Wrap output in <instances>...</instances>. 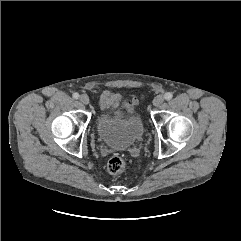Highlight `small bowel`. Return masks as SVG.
<instances>
[{
	"mask_svg": "<svg viewBox=\"0 0 241 241\" xmlns=\"http://www.w3.org/2000/svg\"><path fill=\"white\" fill-rule=\"evenodd\" d=\"M139 103L138 98H132L123 103V107L128 113H133L134 106ZM119 105V96L113 92L106 91L102 94L100 99V107L102 110H112Z\"/></svg>",
	"mask_w": 241,
	"mask_h": 241,
	"instance_id": "1",
	"label": "small bowel"
}]
</instances>
